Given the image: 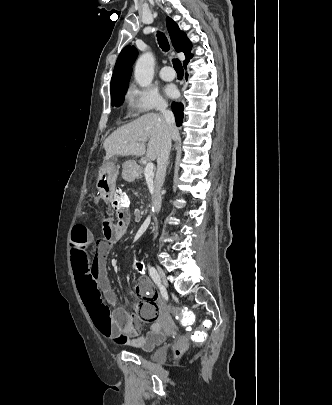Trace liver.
<instances>
[{
    "label": "liver",
    "mask_w": 332,
    "mask_h": 405,
    "mask_svg": "<svg viewBox=\"0 0 332 405\" xmlns=\"http://www.w3.org/2000/svg\"><path fill=\"white\" fill-rule=\"evenodd\" d=\"M166 131L163 116L148 113L137 120L115 130L104 142L105 160L113 156H143L156 160L160 153ZM171 139L180 140L175 127ZM149 141L147 149L146 142Z\"/></svg>",
    "instance_id": "6515ba94"
}]
</instances>
